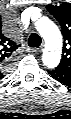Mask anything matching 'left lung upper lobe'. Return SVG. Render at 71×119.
Here are the masks:
<instances>
[{
	"label": "left lung upper lobe",
	"mask_w": 71,
	"mask_h": 119,
	"mask_svg": "<svg viewBox=\"0 0 71 119\" xmlns=\"http://www.w3.org/2000/svg\"><path fill=\"white\" fill-rule=\"evenodd\" d=\"M46 8L60 23L64 37L63 54L58 67L71 71V3L47 5Z\"/></svg>",
	"instance_id": "5c2ea615"
}]
</instances>
